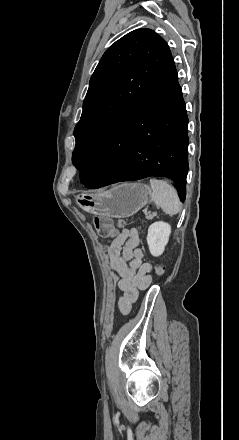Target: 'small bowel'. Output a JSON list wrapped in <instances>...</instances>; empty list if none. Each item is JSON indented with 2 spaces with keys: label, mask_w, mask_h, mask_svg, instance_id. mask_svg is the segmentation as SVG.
Instances as JSON below:
<instances>
[{
  "label": "small bowel",
  "mask_w": 239,
  "mask_h": 440,
  "mask_svg": "<svg viewBox=\"0 0 239 440\" xmlns=\"http://www.w3.org/2000/svg\"><path fill=\"white\" fill-rule=\"evenodd\" d=\"M138 245V231L132 228L122 230L108 248L110 267L119 276L118 287L122 295L118 308L123 314L130 311L139 291L146 289L152 281V266L143 262V252Z\"/></svg>",
  "instance_id": "small-bowel-1"
}]
</instances>
